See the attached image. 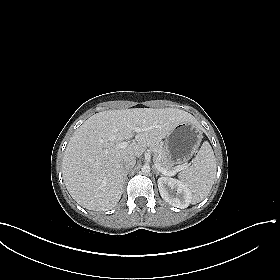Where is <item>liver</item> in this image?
<instances>
[{
	"mask_svg": "<svg viewBox=\"0 0 280 280\" xmlns=\"http://www.w3.org/2000/svg\"><path fill=\"white\" fill-rule=\"evenodd\" d=\"M182 122L195 118L176 108L107 110L88 118L73 134L64 152L63 180L72 198L89 210L107 211L122 195L126 156L140 157ZM144 131L126 148L118 144Z\"/></svg>",
	"mask_w": 280,
	"mask_h": 280,
	"instance_id": "1",
	"label": "liver"
}]
</instances>
